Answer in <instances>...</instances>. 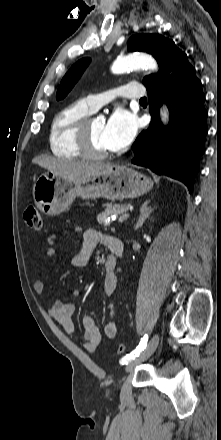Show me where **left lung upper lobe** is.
<instances>
[{
    "label": "left lung upper lobe",
    "instance_id": "left-lung-upper-lobe-1",
    "mask_svg": "<svg viewBox=\"0 0 221 440\" xmlns=\"http://www.w3.org/2000/svg\"><path fill=\"white\" fill-rule=\"evenodd\" d=\"M129 51H142L151 54L160 66V72L164 67L168 57L174 51L179 50L173 41L155 34H139L132 36L128 41ZM90 58H84L75 63L63 77L58 88L56 99H63L78 81L85 68L88 66ZM157 75H150L144 78L143 84L147 86Z\"/></svg>",
    "mask_w": 221,
    "mask_h": 440
}]
</instances>
